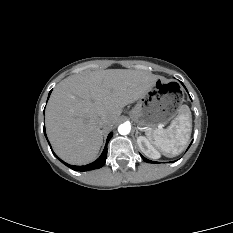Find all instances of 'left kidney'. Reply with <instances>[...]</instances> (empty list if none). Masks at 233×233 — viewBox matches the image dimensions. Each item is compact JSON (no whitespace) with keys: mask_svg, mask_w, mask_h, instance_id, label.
<instances>
[{"mask_svg":"<svg viewBox=\"0 0 233 233\" xmlns=\"http://www.w3.org/2000/svg\"><path fill=\"white\" fill-rule=\"evenodd\" d=\"M137 143L140 150L148 157L153 159H158L160 157V153L151 145L149 140L144 137L140 136L137 138Z\"/></svg>","mask_w":233,"mask_h":233,"instance_id":"5707ae66","label":"left kidney"}]
</instances>
